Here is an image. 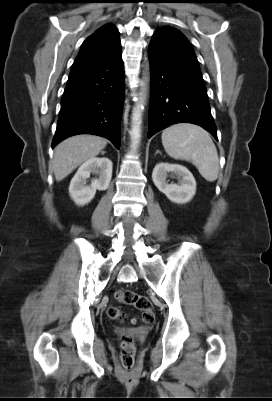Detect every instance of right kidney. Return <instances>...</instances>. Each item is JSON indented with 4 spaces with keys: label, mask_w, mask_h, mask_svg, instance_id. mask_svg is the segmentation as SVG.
I'll use <instances>...</instances> for the list:
<instances>
[{
    "label": "right kidney",
    "mask_w": 272,
    "mask_h": 401,
    "mask_svg": "<svg viewBox=\"0 0 272 401\" xmlns=\"http://www.w3.org/2000/svg\"><path fill=\"white\" fill-rule=\"evenodd\" d=\"M112 161L107 157H94L83 163L69 186V194L73 201L83 206L88 204L95 196L96 191L107 190L112 178ZM91 173L98 175L93 179L90 185H87V179Z\"/></svg>",
    "instance_id": "ca27d5eb"
}]
</instances>
